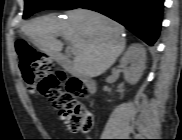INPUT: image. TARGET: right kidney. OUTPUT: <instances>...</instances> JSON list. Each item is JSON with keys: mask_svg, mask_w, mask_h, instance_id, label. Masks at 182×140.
I'll return each mask as SVG.
<instances>
[{"mask_svg": "<svg viewBox=\"0 0 182 140\" xmlns=\"http://www.w3.org/2000/svg\"><path fill=\"white\" fill-rule=\"evenodd\" d=\"M146 64V51L140 44L131 45L120 60L124 79L131 85L141 78Z\"/></svg>", "mask_w": 182, "mask_h": 140, "instance_id": "1", "label": "right kidney"}]
</instances>
